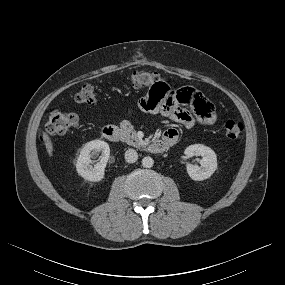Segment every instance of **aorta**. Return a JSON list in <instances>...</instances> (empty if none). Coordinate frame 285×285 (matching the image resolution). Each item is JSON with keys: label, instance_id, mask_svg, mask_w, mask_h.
Returning a JSON list of instances; mask_svg holds the SVG:
<instances>
[{"label": "aorta", "instance_id": "aorta-1", "mask_svg": "<svg viewBox=\"0 0 285 285\" xmlns=\"http://www.w3.org/2000/svg\"><path fill=\"white\" fill-rule=\"evenodd\" d=\"M153 164H154V160L149 156H146L142 159V166L145 168H151Z\"/></svg>", "mask_w": 285, "mask_h": 285}]
</instances>
